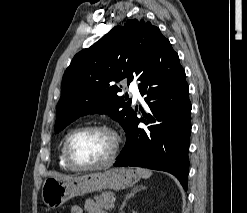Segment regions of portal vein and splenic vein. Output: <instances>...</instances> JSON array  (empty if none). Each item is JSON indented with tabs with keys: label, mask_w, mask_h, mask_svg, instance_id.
Wrapping results in <instances>:
<instances>
[{
	"label": "portal vein and splenic vein",
	"mask_w": 247,
	"mask_h": 213,
	"mask_svg": "<svg viewBox=\"0 0 247 213\" xmlns=\"http://www.w3.org/2000/svg\"><path fill=\"white\" fill-rule=\"evenodd\" d=\"M114 202L112 201L111 203H110V208H114Z\"/></svg>",
	"instance_id": "1"
}]
</instances>
